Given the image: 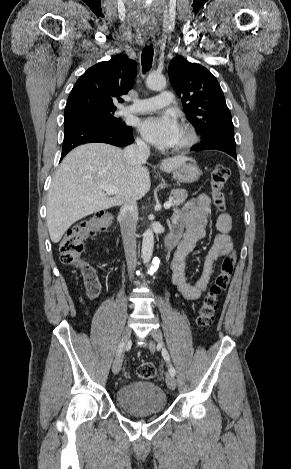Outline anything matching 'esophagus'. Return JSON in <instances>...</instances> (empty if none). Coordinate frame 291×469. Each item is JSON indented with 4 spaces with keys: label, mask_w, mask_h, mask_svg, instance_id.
Wrapping results in <instances>:
<instances>
[{
    "label": "esophagus",
    "mask_w": 291,
    "mask_h": 469,
    "mask_svg": "<svg viewBox=\"0 0 291 469\" xmlns=\"http://www.w3.org/2000/svg\"><path fill=\"white\" fill-rule=\"evenodd\" d=\"M152 41H153L152 39L147 38V42H148V43H151Z\"/></svg>",
    "instance_id": "34e87169"
}]
</instances>
